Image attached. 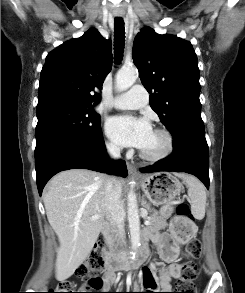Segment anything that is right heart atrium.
<instances>
[{"mask_svg":"<svg viewBox=\"0 0 245 293\" xmlns=\"http://www.w3.org/2000/svg\"><path fill=\"white\" fill-rule=\"evenodd\" d=\"M106 147L108 152L112 155H116L120 152V147L114 142H108Z\"/></svg>","mask_w":245,"mask_h":293,"instance_id":"1","label":"right heart atrium"}]
</instances>
